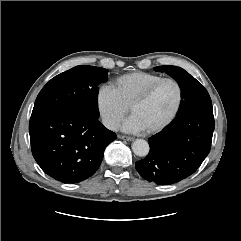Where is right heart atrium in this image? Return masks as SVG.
Returning <instances> with one entry per match:
<instances>
[{
    "label": "right heart atrium",
    "instance_id": "1",
    "mask_svg": "<svg viewBox=\"0 0 241 241\" xmlns=\"http://www.w3.org/2000/svg\"><path fill=\"white\" fill-rule=\"evenodd\" d=\"M96 104L103 124L111 130L117 129L128 112V107L111 86L103 85L99 88Z\"/></svg>",
    "mask_w": 241,
    "mask_h": 241
}]
</instances>
